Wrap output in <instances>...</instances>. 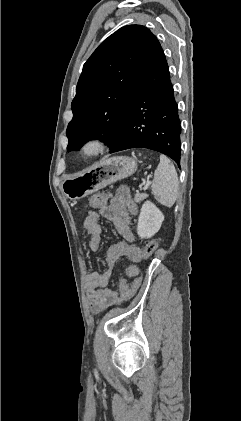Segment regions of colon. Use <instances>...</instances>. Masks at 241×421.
Instances as JSON below:
<instances>
[{
  "mask_svg": "<svg viewBox=\"0 0 241 421\" xmlns=\"http://www.w3.org/2000/svg\"><path fill=\"white\" fill-rule=\"evenodd\" d=\"M109 198H110V194L108 193H96L90 197L89 206L92 208L101 207L107 203ZM159 243L160 242L158 239L151 240L143 250V253H142L143 258L148 259L149 257H151L152 254L157 250ZM126 274L128 276H132L136 278L131 285H129L126 279L124 278H121L119 280V285H118L119 296L124 300L129 299L134 295L135 291L138 289L142 281L140 269L136 261H131L126 266Z\"/></svg>",
  "mask_w": 241,
  "mask_h": 421,
  "instance_id": "1",
  "label": "colon"
}]
</instances>
